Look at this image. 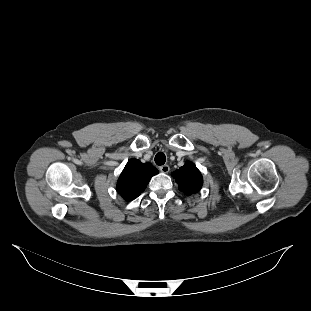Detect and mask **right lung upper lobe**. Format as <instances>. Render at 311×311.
Wrapping results in <instances>:
<instances>
[{
    "label": "right lung upper lobe",
    "instance_id": "cb5924a9",
    "mask_svg": "<svg viewBox=\"0 0 311 311\" xmlns=\"http://www.w3.org/2000/svg\"><path fill=\"white\" fill-rule=\"evenodd\" d=\"M158 172L152 164H144L139 160L132 159L128 161L118 179L117 192L126 201H131L145 190L151 177Z\"/></svg>",
    "mask_w": 311,
    "mask_h": 311
}]
</instances>
